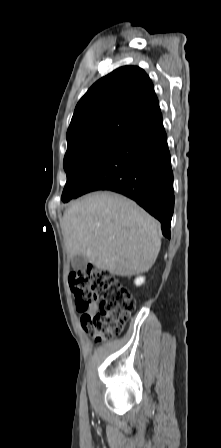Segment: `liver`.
Instances as JSON below:
<instances>
[{"mask_svg":"<svg viewBox=\"0 0 221 448\" xmlns=\"http://www.w3.org/2000/svg\"><path fill=\"white\" fill-rule=\"evenodd\" d=\"M61 227L69 258L83 255L118 276L147 272L161 247L159 222L112 192H94L72 203Z\"/></svg>","mask_w":221,"mask_h":448,"instance_id":"obj_1","label":"liver"}]
</instances>
